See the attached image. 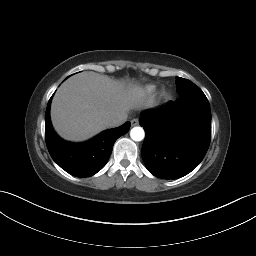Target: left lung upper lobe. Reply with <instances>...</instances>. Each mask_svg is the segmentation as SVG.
<instances>
[{
	"label": "left lung upper lobe",
	"mask_w": 256,
	"mask_h": 256,
	"mask_svg": "<svg viewBox=\"0 0 256 256\" xmlns=\"http://www.w3.org/2000/svg\"><path fill=\"white\" fill-rule=\"evenodd\" d=\"M199 88L190 80L176 77V90L180 95L198 90Z\"/></svg>",
	"instance_id": "1"
}]
</instances>
